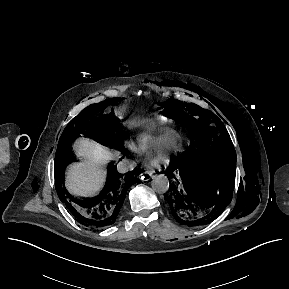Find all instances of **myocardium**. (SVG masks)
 <instances>
[{"mask_svg": "<svg viewBox=\"0 0 289 289\" xmlns=\"http://www.w3.org/2000/svg\"><path fill=\"white\" fill-rule=\"evenodd\" d=\"M182 143L180 140L175 139L167 144L162 149L156 151L152 157V162L156 167L167 166L172 158L182 151Z\"/></svg>", "mask_w": 289, "mask_h": 289, "instance_id": "myocardium-1", "label": "myocardium"}]
</instances>
